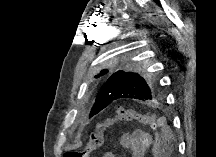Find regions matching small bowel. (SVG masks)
<instances>
[{"label":"small bowel","mask_w":216,"mask_h":157,"mask_svg":"<svg viewBox=\"0 0 216 157\" xmlns=\"http://www.w3.org/2000/svg\"><path fill=\"white\" fill-rule=\"evenodd\" d=\"M120 145L131 151L132 157H144L152 145V135L146 131L136 130L124 134L120 138ZM105 157H114L112 151L105 153Z\"/></svg>","instance_id":"1"}]
</instances>
